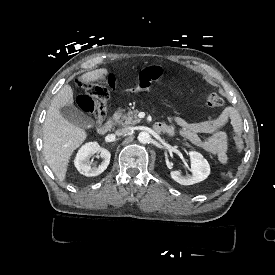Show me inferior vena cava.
Wrapping results in <instances>:
<instances>
[{"label":"inferior vena cava","mask_w":275,"mask_h":275,"mask_svg":"<svg viewBox=\"0 0 275 275\" xmlns=\"http://www.w3.org/2000/svg\"><path fill=\"white\" fill-rule=\"evenodd\" d=\"M131 130H132V129H131L130 127L118 129V130L116 131V135H118V136L125 135V134L130 133Z\"/></svg>","instance_id":"obj_1"}]
</instances>
